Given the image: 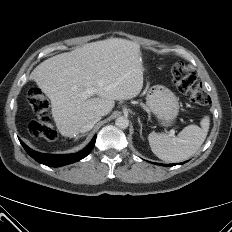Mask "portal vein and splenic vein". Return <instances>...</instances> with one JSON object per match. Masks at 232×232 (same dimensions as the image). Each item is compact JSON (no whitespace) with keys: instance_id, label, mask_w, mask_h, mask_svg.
<instances>
[{"instance_id":"18ae733b","label":"portal vein and splenic vein","mask_w":232,"mask_h":232,"mask_svg":"<svg viewBox=\"0 0 232 232\" xmlns=\"http://www.w3.org/2000/svg\"><path fill=\"white\" fill-rule=\"evenodd\" d=\"M92 95V91L88 90L87 93L84 95L85 98L90 97ZM175 131H170V136L174 137Z\"/></svg>"}]
</instances>
